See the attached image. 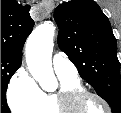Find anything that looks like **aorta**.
Returning <instances> with one entry per match:
<instances>
[{
  "label": "aorta",
  "mask_w": 121,
  "mask_h": 113,
  "mask_svg": "<svg viewBox=\"0 0 121 113\" xmlns=\"http://www.w3.org/2000/svg\"><path fill=\"white\" fill-rule=\"evenodd\" d=\"M55 27L51 21L37 26L26 43V62L29 72L43 89L54 90L57 80L51 56Z\"/></svg>",
  "instance_id": "obj_1"
}]
</instances>
